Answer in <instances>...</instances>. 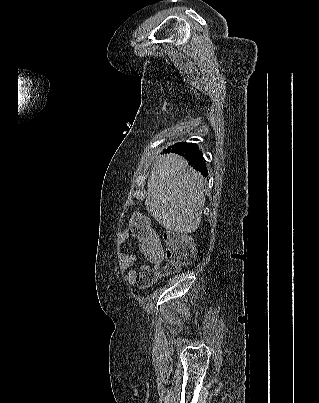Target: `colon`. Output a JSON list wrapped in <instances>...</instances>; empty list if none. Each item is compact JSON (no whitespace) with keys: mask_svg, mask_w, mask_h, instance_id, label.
Listing matches in <instances>:
<instances>
[{"mask_svg":"<svg viewBox=\"0 0 319 403\" xmlns=\"http://www.w3.org/2000/svg\"><path fill=\"white\" fill-rule=\"evenodd\" d=\"M130 230L139 240V245L145 257L154 265L165 261L166 273H174L183 266L193 263L195 245L193 240L184 233L168 231L160 237L152 230L149 219L144 214L135 215L130 221ZM160 276V271L154 269L142 271L137 281L140 287L148 288Z\"/></svg>","mask_w":319,"mask_h":403,"instance_id":"1","label":"colon"}]
</instances>
